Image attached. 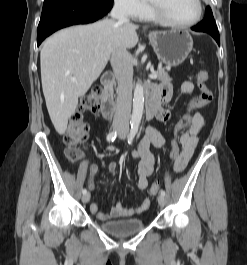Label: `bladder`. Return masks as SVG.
I'll return each instance as SVG.
<instances>
[{
    "label": "bladder",
    "instance_id": "bladder-1",
    "mask_svg": "<svg viewBox=\"0 0 247 265\" xmlns=\"http://www.w3.org/2000/svg\"><path fill=\"white\" fill-rule=\"evenodd\" d=\"M145 227L141 219H121L105 221L100 224V228L109 235L116 238H126L134 235Z\"/></svg>",
    "mask_w": 247,
    "mask_h": 265
}]
</instances>
